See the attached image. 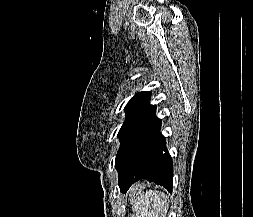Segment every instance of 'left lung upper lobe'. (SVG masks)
<instances>
[{
  "instance_id": "obj_1",
  "label": "left lung upper lobe",
  "mask_w": 253,
  "mask_h": 217,
  "mask_svg": "<svg viewBox=\"0 0 253 217\" xmlns=\"http://www.w3.org/2000/svg\"><path fill=\"white\" fill-rule=\"evenodd\" d=\"M150 92L143 91L135 94L130 101L127 103L125 107L126 111V120L123 123L122 127L119 130L118 137L122 141L128 131L132 128V126L150 109L154 107V105H150Z\"/></svg>"
}]
</instances>
